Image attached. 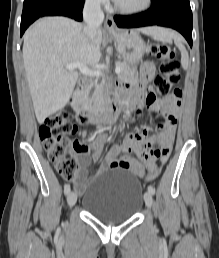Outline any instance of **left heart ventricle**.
Masks as SVG:
<instances>
[{
    "label": "left heart ventricle",
    "instance_id": "1",
    "mask_svg": "<svg viewBox=\"0 0 219 258\" xmlns=\"http://www.w3.org/2000/svg\"><path fill=\"white\" fill-rule=\"evenodd\" d=\"M116 2L124 7H137L140 6L144 0H117Z\"/></svg>",
    "mask_w": 219,
    "mask_h": 258
}]
</instances>
